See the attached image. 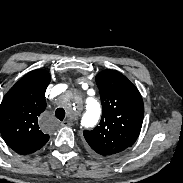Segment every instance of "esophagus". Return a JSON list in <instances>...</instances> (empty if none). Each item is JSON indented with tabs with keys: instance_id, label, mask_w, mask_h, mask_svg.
Here are the masks:
<instances>
[{
	"instance_id": "1",
	"label": "esophagus",
	"mask_w": 183,
	"mask_h": 183,
	"mask_svg": "<svg viewBox=\"0 0 183 183\" xmlns=\"http://www.w3.org/2000/svg\"><path fill=\"white\" fill-rule=\"evenodd\" d=\"M62 126H71L72 125V122L68 121V120H65L61 123Z\"/></svg>"
}]
</instances>
